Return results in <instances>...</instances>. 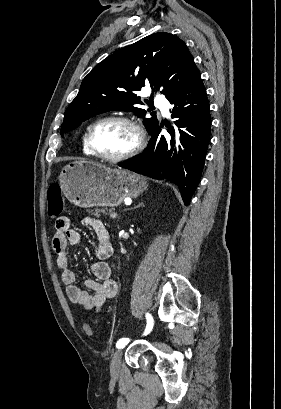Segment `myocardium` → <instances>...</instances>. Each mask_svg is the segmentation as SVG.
Listing matches in <instances>:
<instances>
[{
	"mask_svg": "<svg viewBox=\"0 0 281 409\" xmlns=\"http://www.w3.org/2000/svg\"><path fill=\"white\" fill-rule=\"evenodd\" d=\"M110 122H120V123L130 126L135 131L136 136H137V140L134 146L130 148L128 151H126L125 153L117 155V156L103 155L97 150V147H96L95 139H96V134L99 128L102 125L106 123H110ZM145 142H146V134L142 126L137 121L129 117L122 116V115H111V116H106V117L99 119L94 124L91 130L90 136H89V146L92 151V154L101 160H104L107 162H113V163L122 162V161L128 160L136 156L144 148Z\"/></svg>",
	"mask_w": 281,
	"mask_h": 409,
	"instance_id": "myocardium-1",
	"label": "myocardium"
}]
</instances>
